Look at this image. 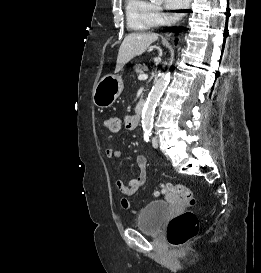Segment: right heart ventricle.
Instances as JSON below:
<instances>
[{"label":"right heart ventricle","mask_w":261,"mask_h":273,"mask_svg":"<svg viewBox=\"0 0 261 273\" xmlns=\"http://www.w3.org/2000/svg\"><path fill=\"white\" fill-rule=\"evenodd\" d=\"M128 26L137 32H144L156 26L153 6L148 0H126Z\"/></svg>","instance_id":"e07e8e85"}]
</instances>
